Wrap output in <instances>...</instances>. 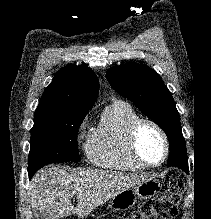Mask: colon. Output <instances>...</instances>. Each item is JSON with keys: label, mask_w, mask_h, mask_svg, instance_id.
<instances>
[{"label": "colon", "mask_w": 211, "mask_h": 219, "mask_svg": "<svg viewBox=\"0 0 211 219\" xmlns=\"http://www.w3.org/2000/svg\"><path fill=\"white\" fill-rule=\"evenodd\" d=\"M182 192V183L178 179H174L161 196L144 203L137 211L123 219H166L175 217L178 214Z\"/></svg>", "instance_id": "colon-1"}]
</instances>
